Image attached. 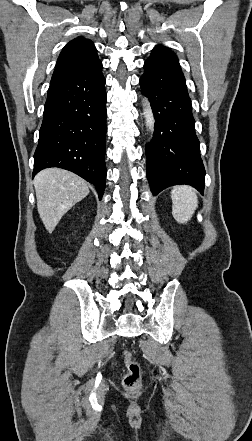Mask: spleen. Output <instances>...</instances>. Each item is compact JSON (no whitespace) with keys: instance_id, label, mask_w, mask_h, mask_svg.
<instances>
[{"instance_id":"spleen-1","label":"spleen","mask_w":252,"mask_h":441,"mask_svg":"<svg viewBox=\"0 0 252 441\" xmlns=\"http://www.w3.org/2000/svg\"><path fill=\"white\" fill-rule=\"evenodd\" d=\"M171 198L173 217L180 224L187 223L198 207L195 190L187 185L177 186L171 191Z\"/></svg>"}]
</instances>
